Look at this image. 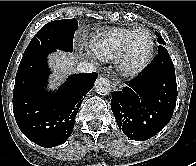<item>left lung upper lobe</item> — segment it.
Masks as SVG:
<instances>
[{
	"mask_svg": "<svg viewBox=\"0 0 196 166\" xmlns=\"http://www.w3.org/2000/svg\"><path fill=\"white\" fill-rule=\"evenodd\" d=\"M156 35L158 37V42L160 44V46H158V53H159L162 50H166V48L164 47L165 41L163 40V38L157 32H156Z\"/></svg>",
	"mask_w": 196,
	"mask_h": 166,
	"instance_id": "1",
	"label": "left lung upper lobe"
}]
</instances>
